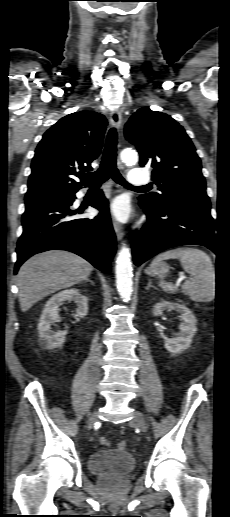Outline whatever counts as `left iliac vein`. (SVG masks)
<instances>
[{
  "label": "left iliac vein",
  "instance_id": "4c4485c4",
  "mask_svg": "<svg viewBox=\"0 0 230 517\" xmlns=\"http://www.w3.org/2000/svg\"><path fill=\"white\" fill-rule=\"evenodd\" d=\"M132 422L141 429V431L146 432L147 431V423L143 416V414L139 411H134Z\"/></svg>",
  "mask_w": 230,
  "mask_h": 517
}]
</instances>
